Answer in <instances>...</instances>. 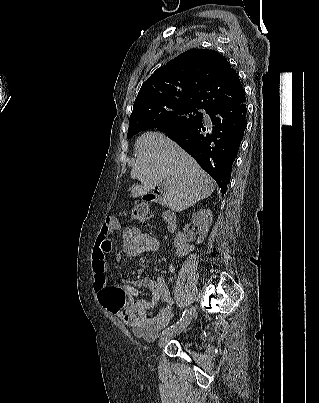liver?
<instances>
[{
	"instance_id": "obj_1",
	"label": "liver",
	"mask_w": 319,
	"mask_h": 403,
	"mask_svg": "<svg viewBox=\"0 0 319 403\" xmlns=\"http://www.w3.org/2000/svg\"><path fill=\"white\" fill-rule=\"evenodd\" d=\"M136 163L131 178L141 182L132 187L133 198L166 183L163 200L172 211L180 212L215 190L214 181L197 162L174 141L160 132H146L135 142Z\"/></svg>"
}]
</instances>
